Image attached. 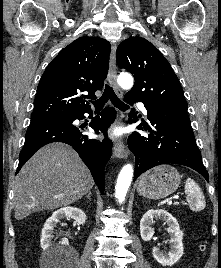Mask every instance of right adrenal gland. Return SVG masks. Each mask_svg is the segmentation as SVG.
<instances>
[{
    "mask_svg": "<svg viewBox=\"0 0 221 268\" xmlns=\"http://www.w3.org/2000/svg\"><path fill=\"white\" fill-rule=\"evenodd\" d=\"M85 197H87L88 199H91V191H89Z\"/></svg>",
    "mask_w": 221,
    "mask_h": 268,
    "instance_id": "2a0ac1e0",
    "label": "right adrenal gland"
}]
</instances>
